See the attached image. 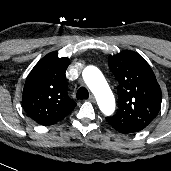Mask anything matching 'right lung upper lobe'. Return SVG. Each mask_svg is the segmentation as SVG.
Returning a JSON list of instances; mask_svg holds the SVG:
<instances>
[{
	"instance_id": "right-lung-upper-lobe-1",
	"label": "right lung upper lobe",
	"mask_w": 171,
	"mask_h": 171,
	"mask_svg": "<svg viewBox=\"0 0 171 171\" xmlns=\"http://www.w3.org/2000/svg\"><path fill=\"white\" fill-rule=\"evenodd\" d=\"M70 63L56 52L43 57L28 75L22 97L25 112L36 123L49 126L65 118L76 106L67 93L65 71Z\"/></svg>"
}]
</instances>
